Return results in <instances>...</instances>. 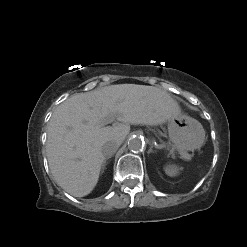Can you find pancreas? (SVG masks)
I'll return each mask as SVG.
<instances>
[{
  "label": "pancreas",
  "mask_w": 247,
  "mask_h": 247,
  "mask_svg": "<svg viewBox=\"0 0 247 247\" xmlns=\"http://www.w3.org/2000/svg\"><path fill=\"white\" fill-rule=\"evenodd\" d=\"M183 155H184L186 158H189V157H190L187 153H183Z\"/></svg>",
  "instance_id": "cf45deb5"
}]
</instances>
